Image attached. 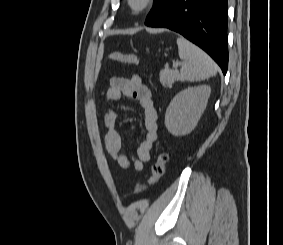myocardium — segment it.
I'll use <instances>...</instances> for the list:
<instances>
[{"mask_svg": "<svg viewBox=\"0 0 283 245\" xmlns=\"http://www.w3.org/2000/svg\"><path fill=\"white\" fill-rule=\"evenodd\" d=\"M127 7L134 15L147 11L154 4V0H126Z\"/></svg>", "mask_w": 283, "mask_h": 245, "instance_id": "1", "label": "myocardium"}]
</instances>
